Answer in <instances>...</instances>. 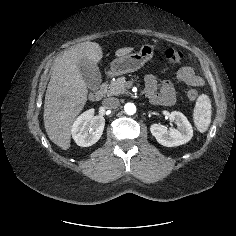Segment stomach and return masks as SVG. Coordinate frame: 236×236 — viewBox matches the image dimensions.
<instances>
[{"label": "stomach", "mask_w": 236, "mask_h": 236, "mask_svg": "<svg viewBox=\"0 0 236 236\" xmlns=\"http://www.w3.org/2000/svg\"><path fill=\"white\" fill-rule=\"evenodd\" d=\"M155 47L152 44H143L138 52L118 57L111 62V72L122 75L139 70L154 55Z\"/></svg>", "instance_id": "0dacf381"}]
</instances>
